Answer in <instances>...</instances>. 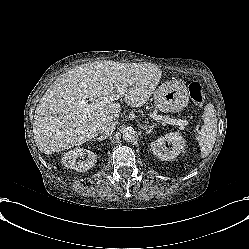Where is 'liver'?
<instances>
[{
	"mask_svg": "<svg viewBox=\"0 0 249 249\" xmlns=\"http://www.w3.org/2000/svg\"><path fill=\"white\" fill-rule=\"evenodd\" d=\"M160 78V71L147 72L109 61L69 71L50 86L36 107L33 130L37 147L51 154L92 140L101 124L117 122L121 105L116 100L123 97L128 106L140 108Z\"/></svg>",
	"mask_w": 249,
	"mask_h": 249,
	"instance_id": "6515ba94",
	"label": "liver"
}]
</instances>
